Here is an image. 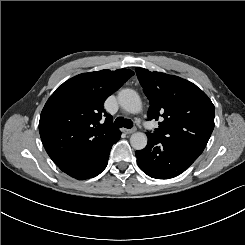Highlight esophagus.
<instances>
[{"instance_id": "esophagus-1", "label": "esophagus", "mask_w": 245, "mask_h": 245, "mask_svg": "<svg viewBox=\"0 0 245 245\" xmlns=\"http://www.w3.org/2000/svg\"><path fill=\"white\" fill-rule=\"evenodd\" d=\"M136 131V128H131V129H123V132H125L126 134H132Z\"/></svg>"}]
</instances>
